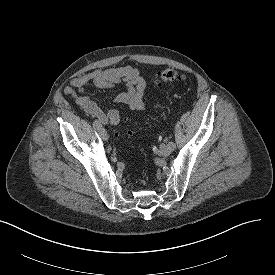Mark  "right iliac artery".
<instances>
[{"mask_svg":"<svg viewBox=\"0 0 275 275\" xmlns=\"http://www.w3.org/2000/svg\"><path fill=\"white\" fill-rule=\"evenodd\" d=\"M93 127H94L95 129H99V128L101 127L100 122H99L98 120H95V121L93 122Z\"/></svg>","mask_w":275,"mask_h":275,"instance_id":"right-iliac-artery-1","label":"right iliac artery"}]
</instances>
